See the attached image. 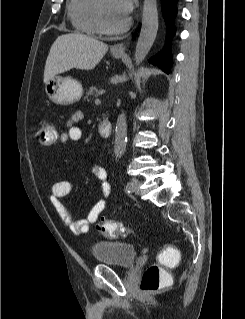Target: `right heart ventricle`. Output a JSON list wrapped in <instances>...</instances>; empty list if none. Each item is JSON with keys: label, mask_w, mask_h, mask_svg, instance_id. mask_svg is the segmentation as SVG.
Masks as SVG:
<instances>
[{"label": "right heart ventricle", "mask_w": 245, "mask_h": 319, "mask_svg": "<svg viewBox=\"0 0 245 319\" xmlns=\"http://www.w3.org/2000/svg\"><path fill=\"white\" fill-rule=\"evenodd\" d=\"M97 3L98 0H70L68 15L79 32L88 35L101 33L97 22Z\"/></svg>", "instance_id": "1"}]
</instances>
